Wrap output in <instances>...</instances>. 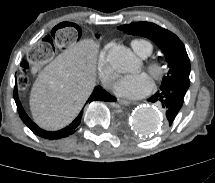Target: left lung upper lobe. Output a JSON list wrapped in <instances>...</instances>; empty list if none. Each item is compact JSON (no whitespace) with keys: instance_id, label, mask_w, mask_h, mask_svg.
Masks as SVG:
<instances>
[{"instance_id":"5c2ea615","label":"left lung upper lobe","mask_w":215,"mask_h":183,"mask_svg":"<svg viewBox=\"0 0 215 183\" xmlns=\"http://www.w3.org/2000/svg\"><path fill=\"white\" fill-rule=\"evenodd\" d=\"M118 29L127 34L147 37L162 50L169 66L162 85L178 83L189 88L190 60L184 44L174 33L150 22H133Z\"/></svg>"}]
</instances>
